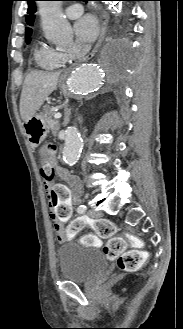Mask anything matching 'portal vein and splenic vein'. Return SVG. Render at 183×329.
I'll use <instances>...</instances> for the list:
<instances>
[{
  "label": "portal vein and splenic vein",
  "mask_w": 183,
  "mask_h": 329,
  "mask_svg": "<svg viewBox=\"0 0 183 329\" xmlns=\"http://www.w3.org/2000/svg\"><path fill=\"white\" fill-rule=\"evenodd\" d=\"M61 116H62L61 113H56V114L54 115V118H55V119H60Z\"/></svg>",
  "instance_id": "obj_1"
}]
</instances>
